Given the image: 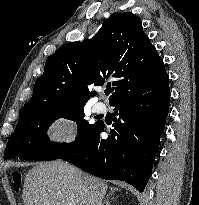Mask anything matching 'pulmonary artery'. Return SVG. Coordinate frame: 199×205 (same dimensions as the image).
Returning <instances> with one entry per match:
<instances>
[{
	"label": "pulmonary artery",
	"instance_id": "pulmonary-artery-1",
	"mask_svg": "<svg viewBox=\"0 0 199 205\" xmlns=\"http://www.w3.org/2000/svg\"><path fill=\"white\" fill-rule=\"evenodd\" d=\"M94 110L97 112V113H105L106 110H107V106L105 103L103 102H98L94 105Z\"/></svg>",
	"mask_w": 199,
	"mask_h": 205
}]
</instances>
